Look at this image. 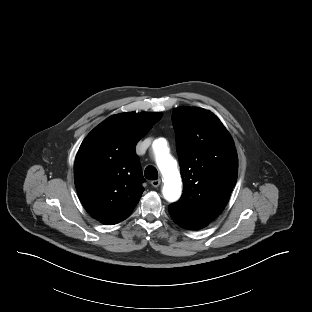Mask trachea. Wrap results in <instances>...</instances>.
<instances>
[{"mask_svg": "<svg viewBox=\"0 0 312 312\" xmlns=\"http://www.w3.org/2000/svg\"><path fill=\"white\" fill-rule=\"evenodd\" d=\"M144 175L149 180H157L158 178V171L154 166H147Z\"/></svg>", "mask_w": 312, "mask_h": 312, "instance_id": "trachea-1", "label": "trachea"}]
</instances>
